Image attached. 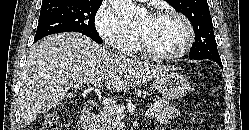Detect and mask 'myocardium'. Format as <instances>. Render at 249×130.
<instances>
[{
    "instance_id": "1",
    "label": "myocardium",
    "mask_w": 249,
    "mask_h": 130,
    "mask_svg": "<svg viewBox=\"0 0 249 130\" xmlns=\"http://www.w3.org/2000/svg\"><path fill=\"white\" fill-rule=\"evenodd\" d=\"M152 16L156 17L170 16L180 20L186 29V38L182 43V45L177 50L170 53L161 54L153 52L148 47L144 37L137 31L139 48L140 51L143 53V55L155 61H169L183 56L190 49L195 39L194 27L190 22V20L182 13L173 9H161L153 13Z\"/></svg>"
}]
</instances>
